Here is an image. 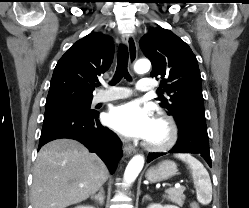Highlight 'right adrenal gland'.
<instances>
[{
    "label": "right adrenal gland",
    "mask_w": 249,
    "mask_h": 208,
    "mask_svg": "<svg viewBox=\"0 0 249 208\" xmlns=\"http://www.w3.org/2000/svg\"><path fill=\"white\" fill-rule=\"evenodd\" d=\"M91 199L95 200V202L97 204L102 206L104 204V200H105V192H104L103 187L100 188L99 193L97 195L91 196Z\"/></svg>",
    "instance_id": "2a0ac1e0"
}]
</instances>
